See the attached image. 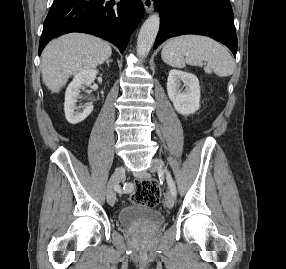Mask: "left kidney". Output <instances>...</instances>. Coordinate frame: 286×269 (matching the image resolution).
I'll return each mask as SVG.
<instances>
[{
  "mask_svg": "<svg viewBox=\"0 0 286 269\" xmlns=\"http://www.w3.org/2000/svg\"><path fill=\"white\" fill-rule=\"evenodd\" d=\"M182 83L186 86L184 91L180 89ZM167 93L179 114L190 115L200 107L199 80L191 73L171 70L167 80Z\"/></svg>",
  "mask_w": 286,
  "mask_h": 269,
  "instance_id": "obj_1",
  "label": "left kidney"
}]
</instances>
